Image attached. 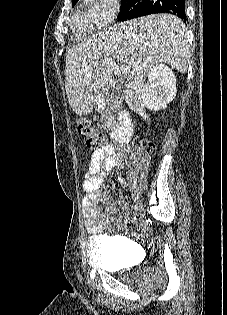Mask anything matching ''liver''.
Here are the masks:
<instances>
[{
	"instance_id": "6515ba94",
	"label": "liver",
	"mask_w": 227,
	"mask_h": 315,
	"mask_svg": "<svg viewBox=\"0 0 227 315\" xmlns=\"http://www.w3.org/2000/svg\"><path fill=\"white\" fill-rule=\"evenodd\" d=\"M190 60L186 26L177 16L155 14L119 23L78 44L66 54L65 90L77 115L93 111L95 94L111 88L113 62L128 68L124 95L130 109L149 118L142 89L151 69L167 63L185 73Z\"/></svg>"
}]
</instances>
